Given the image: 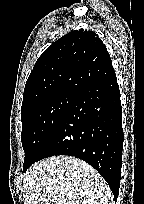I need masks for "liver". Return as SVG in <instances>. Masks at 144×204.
Here are the masks:
<instances>
[{
  "label": "liver",
  "instance_id": "1",
  "mask_svg": "<svg viewBox=\"0 0 144 204\" xmlns=\"http://www.w3.org/2000/svg\"><path fill=\"white\" fill-rule=\"evenodd\" d=\"M25 204H113L103 177L71 156L44 159L24 178Z\"/></svg>",
  "mask_w": 144,
  "mask_h": 204
}]
</instances>
